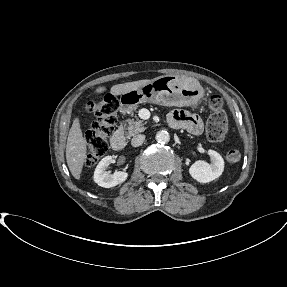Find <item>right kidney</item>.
I'll return each instance as SVG.
<instances>
[{
    "instance_id": "right-kidney-1",
    "label": "right kidney",
    "mask_w": 287,
    "mask_h": 287,
    "mask_svg": "<svg viewBox=\"0 0 287 287\" xmlns=\"http://www.w3.org/2000/svg\"><path fill=\"white\" fill-rule=\"evenodd\" d=\"M113 161L114 159L112 156H106L98 163L94 171V181L99 186L110 188L123 183L127 179L128 173L124 171H117L113 174H109L106 171L108 166L113 163Z\"/></svg>"
}]
</instances>
